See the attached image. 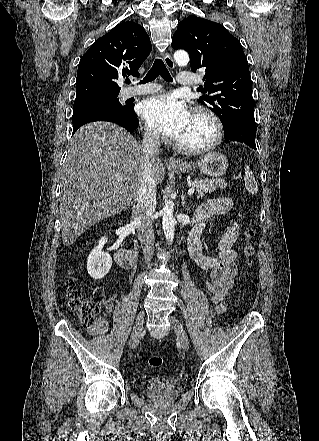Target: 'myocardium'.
Returning <instances> with one entry per match:
<instances>
[{"mask_svg":"<svg viewBox=\"0 0 319 441\" xmlns=\"http://www.w3.org/2000/svg\"><path fill=\"white\" fill-rule=\"evenodd\" d=\"M192 116L203 117L205 118L212 127V136L211 138L203 144L189 146L178 142L177 140L174 142V147L179 152L185 154H201L206 153L216 147L223 137V126L219 119V117L210 109L205 107H197L193 110Z\"/></svg>","mask_w":319,"mask_h":441,"instance_id":"obj_1","label":"myocardium"}]
</instances>
